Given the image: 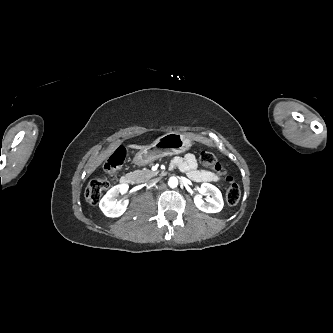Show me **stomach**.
I'll list each match as a JSON object with an SVG mask.
<instances>
[{
	"mask_svg": "<svg viewBox=\"0 0 333 333\" xmlns=\"http://www.w3.org/2000/svg\"><path fill=\"white\" fill-rule=\"evenodd\" d=\"M191 146V140L185 135L179 132H169L157 138L148 147L140 150L133 158V163L144 166L160 157L183 153Z\"/></svg>",
	"mask_w": 333,
	"mask_h": 333,
	"instance_id": "stomach-1",
	"label": "stomach"
}]
</instances>
